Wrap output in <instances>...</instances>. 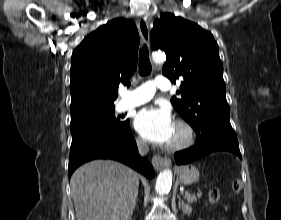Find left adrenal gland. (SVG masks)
<instances>
[{
	"label": "left adrenal gland",
	"mask_w": 281,
	"mask_h": 220,
	"mask_svg": "<svg viewBox=\"0 0 281 220\" xmlns=\"http://www.w3.org/2000/svg\"><path fill=\"white\" fill-rule=\"evenodd\" d=\"M178 199H179V202H178L179 208L182 207V211L184 213H187V209L186 208H187L188 205L184 201L181 200V195H178Z\"/></svg>",
	"instance_id": "a2214340"
}]
</instances>
